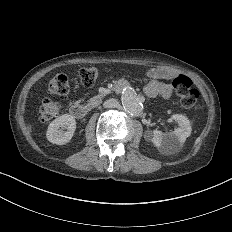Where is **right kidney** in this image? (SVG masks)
<instances>
[{
  "mask_svg": "<svg viewBox=\"0 0 232 232\" xmlns=\"http://www.w3.org/2000/svg\"><path fill=\"white\" fill-rule=\"evenodd\" d=\"M75 129V119L69 114H64L49 124L46 136L51 143L63 145L71 140Z\"/></svg>",
  "mask_w": 232,
  "mask_h": 232,
  "instance_id": "ca27d5eb",
  "label": "right kidney"
}]
</instances>
